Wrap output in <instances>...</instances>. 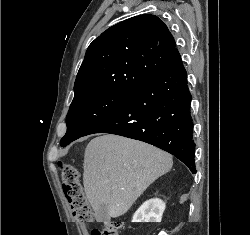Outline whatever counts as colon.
Masks as SVG:
<instances>
[{"instance_id": "1", "label": "colon", "mask_w": 250, "mask_h": 235, "mask_svg": "<svg viewBox=\"0 0 250 235\" xmlns=\"http://www.w3.org/2000/svg\"><path fill=\"white\" fill-rule=\"evenodd\" d=\"M61 177L63 192L69 203L72 216L87 226L91 235H120L121 223L116 221L105 222L100 227H90L94 222V217L83 192L80 173L75 166L62 165Z\"/></svg>"}]
</instances>
